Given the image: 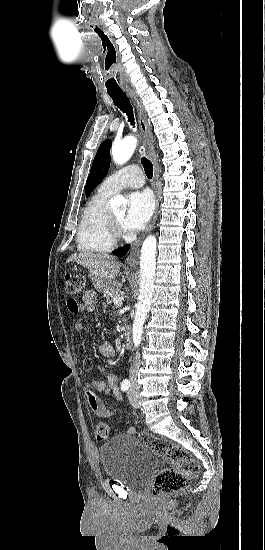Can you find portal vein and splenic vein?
<instances>
[{"label":"portal vein and splenic vein","mask_w":265,"mask_h":550,"mask_svg":"<svg viewBox=\"0 0 265 550\" xmlns=\"http://www.w3.org/2000/svg\"><path fill=\"white\" fill-rule=\"evenodd\" d=\"M113 303H114L115 305H121V304H122V299H121L119 296H115V297L113 298Z\"/></svg>","instance_id":"portal-vein-and-splenic-vein-1"}]
</instances>
